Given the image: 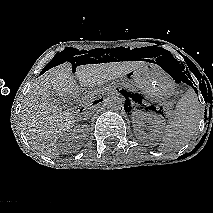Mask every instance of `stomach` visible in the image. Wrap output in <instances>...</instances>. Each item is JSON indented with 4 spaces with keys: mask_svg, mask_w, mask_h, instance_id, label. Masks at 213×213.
I'll return each mask as SVG.
<instances>
[{
    "mask_svg": "<svg viewBox=\"0 0 213 213\" xmlns=\"http://www.w3.org/2000/svg\"><path fill=\"white\" fill-rule=\"evenodd\" d=\"M127 77L153 101L167 102L175 93L174 82L163 76L156 64L140 66L129 72Z\"/></svg>",
    "mask_w": 213,
    "mask_h": 213,
    "instance_id": "1",
    "label": "stomach"
}]
</instances>
